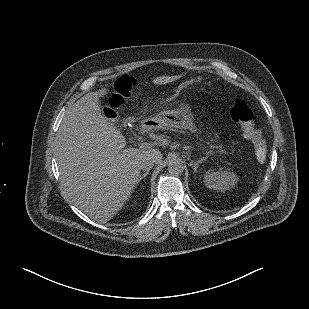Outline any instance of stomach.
<instances>
[{
  "mask_svg": "<svg viewBox=\"0 0 309 309\" xmlns=\"http://www.w3.org/2000/svg\"><path fill=\"white\" fill-rule=\"evenodd\" d=\"M193 120L191 106L187 103H182L175 110L164 111L146 121H150L157 128L177 127L181 128Z\"/></svg>",
  "mask_w": 309,
  "mask_h": 309,
  "instance_id": "1",
  "label": "stomach"
}]
</instances>
